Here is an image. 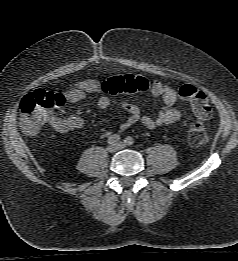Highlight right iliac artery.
Listing matches in <instances>:
<instances>
[{"label": "right iliac artery", "mask_w": 238, "mask_h": 261, "mask_svg": "<svg viewBox=\"0 0 238 261\" xmlns=\"http://www.w3.org/2000/svg\"><path fill=\"white\" fill-rule=\"evenodd\" d=\"M120 140H121L120 135H118V134H113V135H111V136L108 138L107 142H108V144H110V145H115V144H117Z\"/></svg>", "instance_id": "1"}]
</instances>
